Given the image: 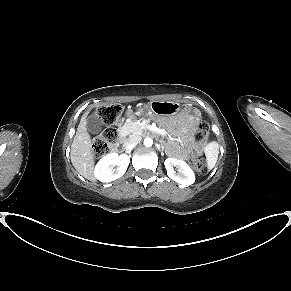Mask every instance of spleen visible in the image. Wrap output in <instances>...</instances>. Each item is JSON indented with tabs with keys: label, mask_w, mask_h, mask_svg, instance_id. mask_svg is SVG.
<instances>
[{
	"label": "spleen",
	"mask_w": 291,
	"mask_h": 291,
	"mask_svg": "<svg viewBox=\"0 0 291 291\" xmlns=\"http://www.w3.org/2000/svg\"><path fill=\"white\" fill-rule=\"evenodd\" d=\"M218 153H219V145L215 141L210 142L205 147V155H206L207 166L209 170L215 166L218 159Z\"/></svg>",
	"instance_id": "1"
}]
</instances>
